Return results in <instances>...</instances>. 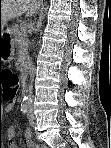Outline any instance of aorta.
Segmentation results:
<instances>
[{"label":"aorta","mask_w":111,"mask_h":148,"mask_svg":"<svg viewBox=\"0 0 111 148\" xmlns=\"http://www.w3.org/2000/svg\"><path fill=\"white\" fill-rule=\"evenodd\" d=\"M31 102H32V96H31V93H28L24 98V103L30 104Z\"/></svg>","instance_id":"762f6f07"}]
</instances>
